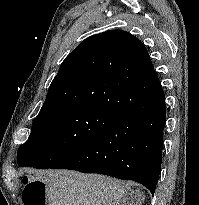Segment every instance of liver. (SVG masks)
Listing matches in <instances>:
<instances>
[{"instance_id": "1", "label": "liver", "mask_w": 199, "mask_h": 205, "mask_svg": "<svg viewBox=\"0 0 199 205\" xmlns=\"http://www.w3.org/2000/svg\"><path fill=\"white\" fill-rule=\"evenodd\" d=\"M47 186L49 205H126L138 192L118 179L68 170H49L40 177Z\"/></svg>"}]
</instances>
